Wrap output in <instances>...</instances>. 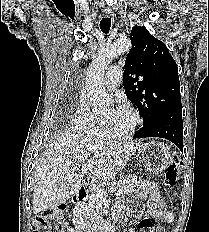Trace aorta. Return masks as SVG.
<instances>
[{"label":"aorta","instance_id":"aorta-1","mask_svg":"<svg viewBox=\"0 0 209 232\" xmlns=\"http://www.w3.org/2000/svg\"><path fill=\"white\" fill-rule=\"evenodd\" d=\"M131 42L119 39L106 49L89 64L86 72V90L92 108L95 112L104 111L112 105V100L103 86V77L110 62L118 55L129 51Z\"/></svg>","mask_w":209,"mask_h":232}]
</instances>
